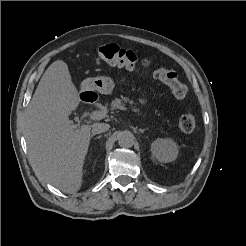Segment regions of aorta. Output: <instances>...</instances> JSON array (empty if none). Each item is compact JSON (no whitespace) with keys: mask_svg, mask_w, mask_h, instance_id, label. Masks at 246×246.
I'll return each mask as SVG.
<instances>
[{"mask_svg":"<svg viewBox=\"0 0 246 246\" xmlns=\"http://www.w3.org/2000/svg\"><path fill=\"white\" fill-rule=\"evenodd\" d=\"M118 144L121 147L129 148L134 143V135L132 132L125 130L118 133Z\"/></svg>","mask_w":246,"mask_h":246,"instance_id":"aorta-1","label":"aorta"}]
</instances>
